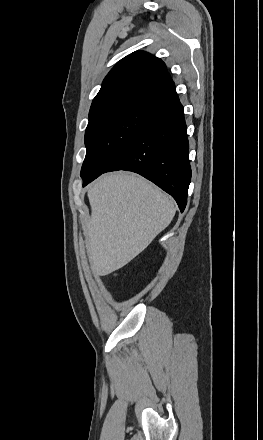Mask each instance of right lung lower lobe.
<instances>
[{
    "instance_id": "right-lung-lower-lobe-1",
    "label": "right lung lower lobe",
    "mask_w": 263,
    "mask_h": 440,
    "mask_svg": "<svg viewBox=\"0 0 263 440\" xmlns=\"http://www.w3.org/2000/svg\"><path fill=\"white\" fill-rule=\"evenodd\" d=\"M188 152L183 106L174 93L157 105L146 125L114 156L103 173L136 172L169 193L183 212L191 180ZM97 177L84 181L83 186Z\"/></svg>"
}]
</instances>
